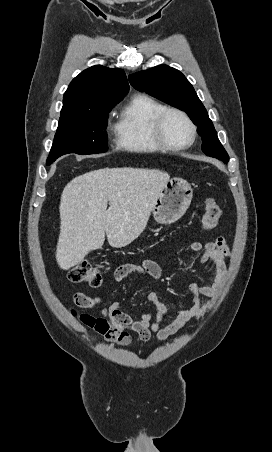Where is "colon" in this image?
<instances>
[{
  "instance_id": "5ec220e1",
  "label": "colon",
  "mask_w": 272,
  "mask_h": 452,
  "mask_svg": "<svg viewBox=\"0 0 272 452\" xmlns=\"http://www.w3.org/2000/svg\"><path fill=\"white\" fill-rule=\"evenodd\" d=\"M222 215V208L220 204L214 199H208L204 205L202 215V227L204 230L214 229ZM67 279L73 283H86L91 286H99L102 281L101 270L90 264L82 261L73 266L67 272Z\"/></svg>"
}]
</instances>
